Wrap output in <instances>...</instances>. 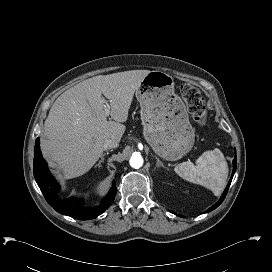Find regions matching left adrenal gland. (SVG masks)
<instances>
[{"mask_svg":"<svg viewBox=\"0 0 272 272\" xmlns=\"http://www.w3.org/2000/svg\"><path fill=\"white\" fill-rule=\"evenodd\" d=\"M154 157H155L156 162H157V164H156L157 167H163V168L168 169V168L165 167L164 164L159 160V158H157V156H154Z\"/></svg>","mask_w":272,"mask_h":272,"instance_id":"a2214340","label":"left adrenal gland"}]
</instances>
